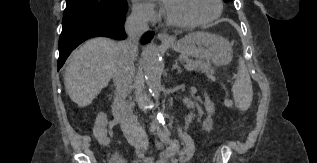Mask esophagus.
<instances>
[{"mask_svg": "<svg viewBox=\"0 0 317 163\" xmlns=\"http://www.w3.org/2000/svg\"><path fill=\"white\" fill-rule=\"evenodd\" d=\"M157 38L158 40L162 41V42H169L172 41L171 36H169V34H167L166 32H159L157 34Z\"/></svg>", "mask_w": 317, "mask_h": 163, "instance_id": "34e87169", "label": "esophagus"}]
</instances>
